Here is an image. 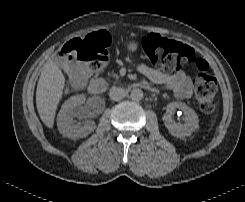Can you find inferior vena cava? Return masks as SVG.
I'll return each mask as SVG.
<instances>
[{
	"label": "inferior vena cava",
	"mask_w": 245,
	"mask_h": 202,
	"mask_svg": "<svg viewBox=\"0 0 245 202\" xmlns=\"http://www.w3.org/2000/svg\"><path fill=\"white\" fill-rule=\"evenodd\" d=\"M110 99L119 101L126 96V91L123 88L112 87L109 91Z\"/></svg>",
	"instance_id": "1"
}]
</instances>
